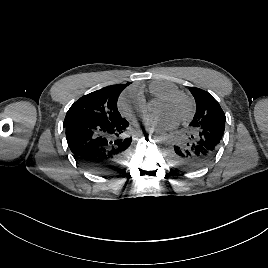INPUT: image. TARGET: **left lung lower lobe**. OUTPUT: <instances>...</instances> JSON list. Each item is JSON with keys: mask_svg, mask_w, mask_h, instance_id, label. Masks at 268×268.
<instances>
[{"mask_svg": "<svg viewBox=\"0 0 268 268\" xmlns=\"http://www.w3.org/2000/svg\"><path fill=\"white\" fill-rule=\"evenodd\" d=\"M225 122H215L193 131L188 140L170 148L168 161L181 171H195L206 166L217 154Z\"/></svg>", "mask_w": 268, "mask_h": 268, "instance_id": "left-lung-lower-lobe-1", "label": "left lung lower lobe"}]
</instances>
